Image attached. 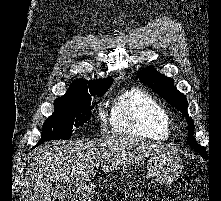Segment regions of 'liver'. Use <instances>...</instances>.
I'll list each match as a JSON object with an SVG mask.
<instances>
[{
	"mask_svg": "<svg viewBox=\"0 0 221 201\" xmlns=\"http://www.w3.org/2000/svg\"><path fill=\"white\" fill-rule=\"evenodd\" d=\"M53 146V147H52ZM174 151L131 136H109L87 142H52L34 153L24 179L21 201H55L66 184L84 188L96 176L120 170L159 152Z\"/></svg>",
	"mask_w": 221,
	"mask_h": 201,
	"instance_id": "liver-1",
	"label": "liver"
}]
</instances>
